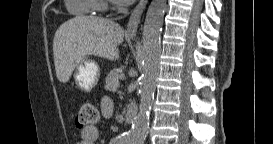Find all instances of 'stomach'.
Returning a JSON list of instances; mask_svg holds the SVG:
<instances>
[{"label":"stomach","instance_id":"0dacf381","mask_svg":"<svg viewBox=\"0 0 273 144\" xmlns=\"http://www.w3.org/2000/svg\"><path fill=\"white\" fill-rule=\"evenodd\" d=\"M73 77L77 86L83 91H91L100 77L99 65L92 59L84 57L75 67Z\"/></svg>","mask_w":273,"mask_h":144}]
</instances>
